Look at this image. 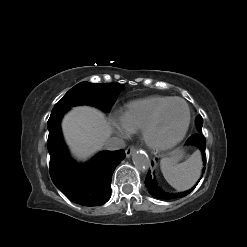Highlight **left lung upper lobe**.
I'll list each match as a JSON object with an SVG mask.
<instances>
[{"label": "left lung upper lobe", "mask_w": 247, "mask_h": 247, "mask_svg": "<svg viewBox=\"0 0 247 247\" xmlns=\"http://www.w3.org/2000/svg\"><path fill=\"white\" fill-rule=\"evenodd\" d=\"M196 124H197V128H198L199 133H201L202 132V126H203V119H202L201 115H198L196 117Z\"/></svg>", "instance_id": "obj_1"}]
</instances>
